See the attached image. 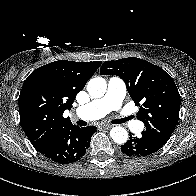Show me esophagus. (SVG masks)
Wrapping results in <instances>:
<instances>
[{"instance_id": "esophagus-1", "label": "esophagus", "mask_w": 196, "mask_h": 196, "mask_svg": "<svg viewBox=\"0 0 196 196\" xmlns=\"http://www.w3.org/2000/svg\"><path fill=\"white\" fill-rule=\"evenodd\" d=\"M101 126H102V128H104V129H109V128L112 127L111 124H102Z\"/></svg>"}]
</instances>
